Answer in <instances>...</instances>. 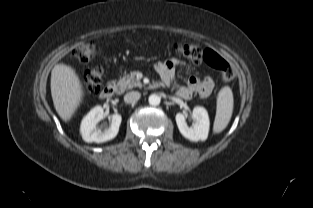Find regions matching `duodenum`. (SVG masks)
Returning <instances> with one entry per match:
<instances>
[{
  "instance_id": "obj_1",
  "label": "duodenum",
  "mask_w": 313,
  "mask_h": 208,
  "mask_svg": "<svg viewBox=\"0 0 313 208\" xmlns=\"http://www.w3.org/2000/svg\"><path fill=\"white\" fill-rule=\"evenodd\" d=\"M164 83V82H163ZM165 84V83H164ZM115 85L113 84H107L106 86L103 87V89L100 92V97L103 99H108L110 97H112V95L115 92Z\"/></svg>"
}]
</instances>
